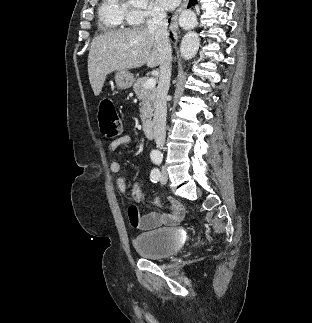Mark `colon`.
Returning a JSON list of instances; mask_svg holds the SVG:
<instances>
[{"instance_id": "5ec220e1", "label": "colon", "mask_w": 312, "mask_h": 323, "mask_svg": "<svg viewBox=\"0 0 312 323\" xmlns=\"http://www.w3.org/2000/svg\"><path fill=\"white\" fill-rule=\"evenodd\" d=\"M98 121L99 130L103 137L112 139L121 136V121L111 99L107 98L100 102L98 108ZM132 193L133 195H140L141 190L140 188H133ZM154 205L161 206L162 203L159 200H155ZM168 209L172 210L174 207L169 206ZM132 214H136V211L133 210Z\"/></svg>"}]
</instances>
